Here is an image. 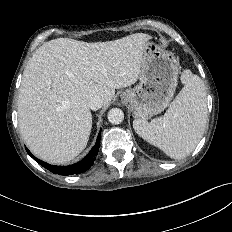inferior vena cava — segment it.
Masks as SVG:
<instances>
[{
	"label": "inferior vena cava",
	"instance_id": "1",
	"mask_svg": "<svg viewBox=\"0 0 232 232\" xmlns=\"http://www.w3.org/2000/svg\"><path fill=\"white\" fill-rule=\"evenodd\" d=\"M103 106V99L99 95H93L88 100V107L91 110H98Z\"/></svg>",
	"mask_w": 232,
	"mask_h": 232
}]
</instances>
